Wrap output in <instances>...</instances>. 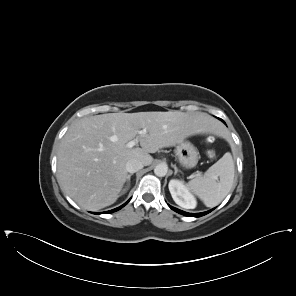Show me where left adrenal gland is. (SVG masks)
<instances>
[{"label": "left adrenal gland", "mask_w": 296, "mask_h": 296, "mask_svg": "<svg viewBox=\"0 0 296 296\" xmlns=\"http://www.w3.org/2000/svg\"><path fill=\"white\" fill-rule=\"evenodd\" d=\"M174 168V175H176L178 172H181L180 170H178V168L176 167V165H173Z\"/></svg>", "instance_id": "a2214340"}]
</instances>
